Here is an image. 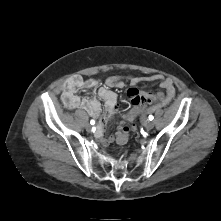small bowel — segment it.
Segmentation results:
<instances>
[{
    "mask_svg": "<svg viewBox=\"0 0 221 221\" xmlns=\"http://www.w3.org/2000/svg\"><path fill=\"white\" fill-rule=\"evenodd\" d=\"M125 80L129 81L132 86H136L143 81L159 82V86L164 92H159L154 97V102L157 105H164L175 96V85L172 79L165 78L161 75H152L148 77L115 75L108 77L103 86H100V80L98 79L91 78L85 80L81 76H74L65 84L62 99L69 109H83L90 116L99 118L101 114V104L99 100L95 97H80L78 95L80 89H87L91 92L97 91L100 99L104 101V114L96 129V135L103 144H110L115 140L116 136L105 135V127L118 109V96L113 89L123 88ZM147 95L149 94L139 91L136 88L129 89L128 97L132 103V108L129 111H132L137 103L145 101Z\"/></svg>",
    "mask_w": 221,
    "mask_h": 221,
    "instance_id": "c3829d8e",
    "label": "small bowel"
}]
</instances>
